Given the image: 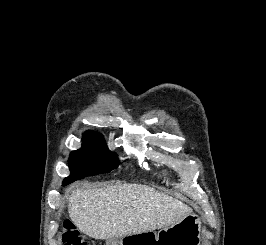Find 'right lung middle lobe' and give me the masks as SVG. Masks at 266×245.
Returning a JSON list of instances; mask_svg holds the SVG:
<instances>
[{"label":"right lung middle lobe","mask_w":266,"mask_h":245,"mask_svg":"<svg viewBox=\"0 0 266 245\" xmlns=\"http://www.w3.org/2000/svg\"><path fill=\"white\" fill-rule=\"evenodd\" d=\"M82 142V147L70 154L71 174L64 179L63 185L86 176L108 173L118 167L117 156L108 149L100 133L86 131Z\"/></svg>","instance_id":"dd1d6c3e"}]
</instances>
